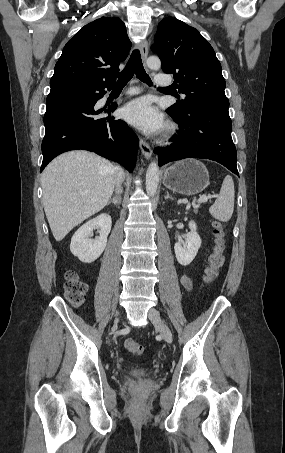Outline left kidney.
Listing matches in <instances>:
<instances>
[{
	"mask_svg": "<svg viewBox=\"0 0 285 453\" xmlns=\"http://www.w3.org/2000/svg\"><path fill=\"white\" fill-rule=\"evenodd\" d=\"M190 232L185 235V241L180 239L174 245L176 259L183 266L189 265L198 253L201 246V238L197 233L194 221L189 222Z\"/></svg>",
	"mask_w": 285,
	"mask_h": 453,
	"instance_id": "5707ae66",
	"label": "left kidney"
}]
</instances>
